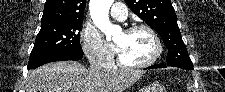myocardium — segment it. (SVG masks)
<instances>
[{"label":"myocardium","mask_w":225,"mask_h":92,"mask_svg":"<svg viewBox=\"0 0 225 92\" xmlns=\"http://www.w3.org/2000/svg\"><path fill=\"white\" fill-rule=\"evenodd\" d=\"M139 30H144L146 32H148L153 41H154V44H155V52H154V55L142 62V63H137V64H127L125 63L121 58L120 56L118 55L117 56V64L121 67V68H124V69H143V68H146L152 64H154L161 56L162 54V51H163V46H162V42H161V39L158 35V33L149 25H146V24H133L131 26H129L125 32L126 33H131V32H135V31H139Z\"/></svg>","instance_id":"myocardium-1"}]
</instances>
